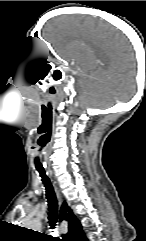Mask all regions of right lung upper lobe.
Masks as SVG:
<instances>
[{
    "instance_id": "right-lung-upper-lobe-1",
    "label": "right lung upper lobe",
    "mask_w": 146,
    "mask_h": 241,
    "mask_svg": "<svg viewBox=\"0 0 146 241\" xmlns=\"http://www.w3.org/2000/svg\"><path fill=\"white\" fill-rule=\"evenodd\" d=\"M68 210L69 213L67 214ZM60 220H66L69 229L67 234L62 235L61 241H84L85 235L82 226L65 202L60 210Z\"/></svg>"
}]
</instances>
